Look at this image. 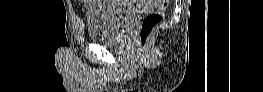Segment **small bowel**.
I'll return each mask as SVG.
<instances>
[{"label":"small bowel","mask_w":263,"mask_h":92,"mask_svg":"<svg viewBox=\"0 0 263 92\" xmlns=\"http://www.w3.org/2000/svg\"><path fill=\"white\" fill-rule=\"evenodd\" d=\"M148 3L155 4L157 1H149Z\"/></svg>","instance_id":"obj_1"}]
</instances>
